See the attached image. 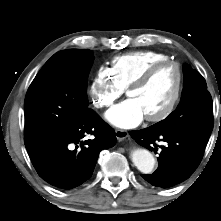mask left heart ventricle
Masks as SVG:
<instances>
[{"label":"left heart ventricle","mask_w":221,"mask_h":221,"mask_svg":"<svg viewBox=\"0 0 221 221\" xmlns=\"http://www.w3.org/2000/svg\"><path fill=\"white\" fill-rule=\"evenodd\" d=\"M177 84V73L173 66H166L158 71L149 83L129 92V98L136 99L144 114H158L167 107L172 99Z\"/></svg>","instance_id":"left-heart-ventricle-1"}]
</instances>
